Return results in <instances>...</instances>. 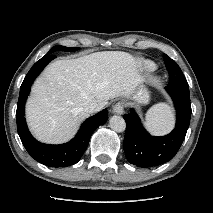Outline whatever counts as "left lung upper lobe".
I'll return each instance as SVG.
<instances>
[{
    "instance_id": "obj_1",
    "label": "left lung upper lobe",
    "mask_w": 213,
    "mask_h": 213,
    "mask_svg": "<svg viewBox=\"0 0 213 213\" xmlns=\"http://www.w3.org/2000/svg\"><path fill=\"white\" fill-rule=\"evenodd\" d=\"M163 57L165 66L170 75L169 85L175 88L189 90V86L180 67L166 54H163Z\"/></svg>"
}]
</instances>
